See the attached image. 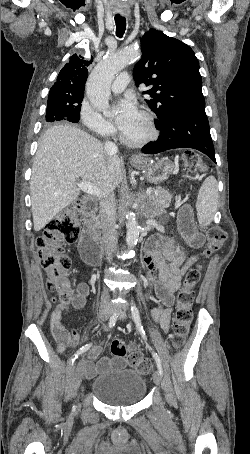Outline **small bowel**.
<instances>
[{
  "label": "small bowel",
  "instance_id": "1",
  "mask_svg": "<svg viewBox=\"0 0 250 454\" xmlns=\"http://www.w3.org/2000/svg\"><path fill=\"white\" fill-rule=\"evenodd\" d=\"M179 230L192 248H199L204 242L203 235L194 226L192 211L184 205L178 213ZM196 256L186 257L181 253L173 238L156 236L149 240L146 245L145 263L148 269V280L151 285V294L157 299L158 306L152 310L153 322L158 324L164 332L170 325L173 296L180 287L181 280L187 269L197 262ZM199 268V264H197ZM89 287L86 283H80L72 297L69 307L58 305L50 316V328L56 341L59 352L74 346L78 342V335L74 329L67 330L62 324L63 311L81 309L86 303ZM101 345L94 346L89 352L88 360L84 361V374L87 378H93L99 373L109 370L110 359L100 358ZM121 364V362H119Z\"/></svg>",
  "mask_w": 250,
  "mask_h": 454
}]
</instances>
